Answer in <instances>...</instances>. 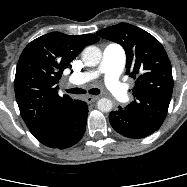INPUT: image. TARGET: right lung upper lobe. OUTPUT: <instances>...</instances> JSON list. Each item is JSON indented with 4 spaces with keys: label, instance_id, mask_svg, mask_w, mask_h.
<instances>
[{
    "label": "right lung upper lobe",
    "instance_id": "obj_1",
    "mask_svg": "<svg viewBox=\"0 0 187 187\" xmlns=\"http://www.w3.org/2000/svg\"><path fill=\"white\" fill-rule=\"evenodd\" d=\"M99 38L51 32L30 42L20 55L15 96L23 120L34 135L45 129L76 100L58 95L56 85L65 68Z\"/></svg>",
    "mask_w": 187,
    "mask_h": 187
}]
</instances>
